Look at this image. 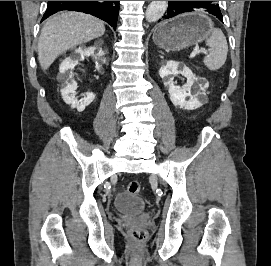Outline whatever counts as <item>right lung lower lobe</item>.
Returning <instances> with one entry per match:
<instances>
[{"label":"right lung lower lobe","instance_id":"right-lung-lower-lobe-1","mask_svg":"<svg viewBox=\"0 0 271 266\" xmlns=\"http://www.w3.org/2000/svg\"><path fill=\"white\" fill-rule=\"evenodd\" d=\"M61 10L91 14L106 21L116 29L119 1H48L47 10L42 21Z\"/></svg>","mask_w":271,"mask_h":266}]
</instances>
